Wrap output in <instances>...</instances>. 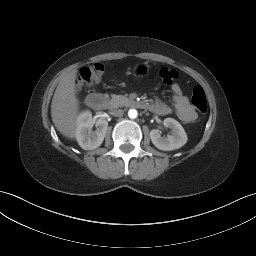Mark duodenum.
I'll return each instance as SVG.
<instances>
[{"label":"duodenum","mask_w":256,"mask_h":256,"mask_svg":"<svg viewBox=\"0 0 256 256\" xmlns=\"http://www.w3.org/2000/svg\"><path fill=\"white\" fill-rule=\"evenodd\" d=\"M106 98L98 93H90L87 97V104L88 106L93 109V110H101L105 107L106 105ZM132 105L137 108H150L148 104L142 101H133Z\"/></svg>","instance_id":"duodenum-1"}]
</instances>
